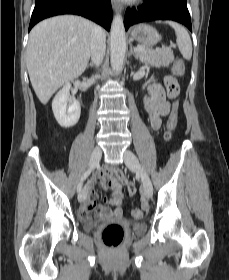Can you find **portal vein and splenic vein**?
<instances>
[{"instance_id": "18ae733b", "label": "portal vein and splenic vein", "mask_w": 229, "mask_h": 280, "mask_svg": "<svg viewBox=\"0 0 229 280\" xmlns=\"http://www.w3.org/2000/svg\"><path fill=\"white\" fill-rule=\"evenodd\" d=\"M144 51V49L143 48H135V52H143Z\"/></svg>"}]
</instances>
